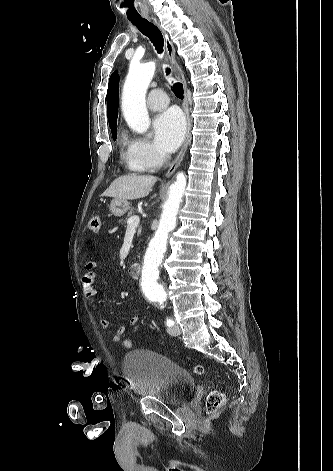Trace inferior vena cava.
<instances>
[{
	"mask_svg": "<svg viewBox=\"0 0 333 471\" xmlns=\"http://www.w3.org/2000/svg\"><path fill=\"white\" fill-rule=\"evenodd\" d=\"M165 158L167 159V158H168V155H165Z\"/></svg>",
	"mask_w": 333,
	"mask_h": 471,
	"instance_id": "1",
	"label": "inferior vena cava"
}]
</instances>
